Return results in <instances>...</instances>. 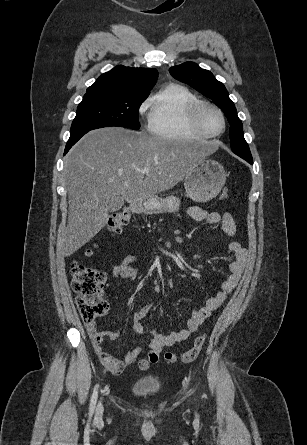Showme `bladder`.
<instances>
[{
  "instance_id": "31cf9c89",
  "label": "bladder",
  "mask_w": 307,
  "mask_h": 445,
  "mask_svg": "<svg viewBox=\"0 0 307 445\" xmlns=\"http://www.w3.org/2000/svg\"><path fill=\"white\" fill-rule=\"evenodd\" d=\"M162 382L154 376H143L135 380L131 386L133 394L137 396H147L159 392Z\"/></svg>"
}]
</instances>
